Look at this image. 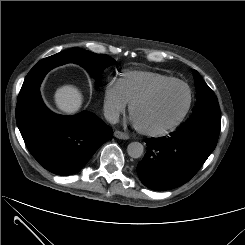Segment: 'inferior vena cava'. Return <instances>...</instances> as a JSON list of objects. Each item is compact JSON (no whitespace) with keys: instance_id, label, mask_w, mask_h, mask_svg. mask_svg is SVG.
<instances>
[{"instance_id":"1","label":"inferior vena cava","mask_w":245,"mask_h":245,"mask_svg":"<svg viewBox=\"0 0 245 245\" xmlns=\"http://www.w3.org/2000/svg\"><path fill=\"white\" fill-rule=\"evenodd\" d=\"M104 116L111 124H116L119 121V113L115 110H106Z\"/></svg>"}]
</instances>
